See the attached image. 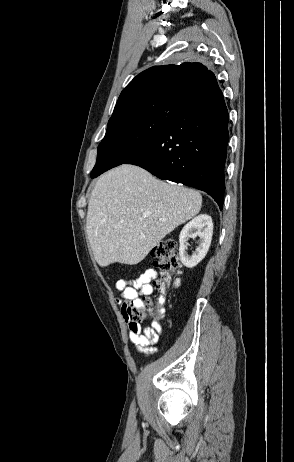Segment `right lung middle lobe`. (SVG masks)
Returning a JSON list of instances; mask_svg holds the SVG:
<instances>
[{
    "mask_svg": "<svg viewBox=\"0 0 294 462\" xmlns=\"http://www.w3.org/2000/svg\"><path fill=\"white\" fill-rule=\"evenodd\" d=\"M186 98L169 93L137 102L113 113L92 174H102L123 164L143 144L161 132L181 111Z\"/></svg>",
    "mask_w": 294,
    "mask_h": 462,
    "instance_id": "1",
    "label": "right lung middle lobe"
}]
</instances>
